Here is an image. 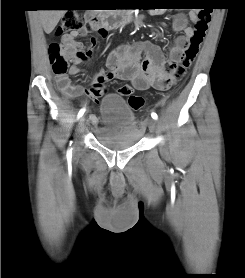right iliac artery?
Wrapping results in <instances>:
<instances>
[{"label": "right iliac artery", "mask_w": 245, "mask_h": 278, "mask_svg": "<svg viewBox=\"0 0 245 278\" xmlns=\"http://www.w3.org/2000/svg\"><path fill=\"white\" fill-rule=\"evenodd\" d=\"M84 112H85V109L84 108L81 109L78 113V118H80L84 114ZM67 153L71 154L72 153V148L71 149L69 148Z\"/></svg>", "instance_id": "obj_1"}]
</instances>
